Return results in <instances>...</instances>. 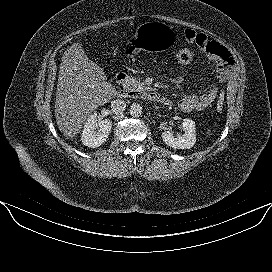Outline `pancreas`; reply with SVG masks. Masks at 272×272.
Returning a JSON list of instances; mask_svg holds the SVG:
<instances>
[{"mask_svg": "<svg viewBox=\"0 0 272 272\" xmlns=\"http://www.w3.org/2000/svg\"><path fill=\"white\" fill-rule=\"evenodd\" d=\"M143 86V83H141L137 78H129V81L126 83L125 88L130 91H137L140 89V87Z\"/></svg>", "mask_w": 272, "mask_h": 272, "instance_id": "obj_1", "label": "pancreas"}]
</instances>
